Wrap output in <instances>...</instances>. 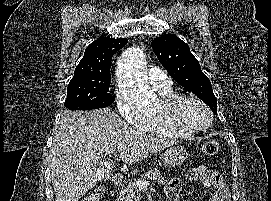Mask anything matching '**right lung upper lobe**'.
<instances>
[{
	"label": "right lung upper lobe",
	"mask_w": 271,
	"mask_h": 201,
	"mask_svg": "<svg viewBox=\"0 0 271 201\" xmlns=\"http://www.w3.org/2000/svg\"><path fill=\"white\" fill-rule=\"evenodd\" d=\"M126 38L99 37L85 50L74 75L110 74L112 56L127 43Z\"/></svg>",
	"instance_id": "1"
}]
</instances>
